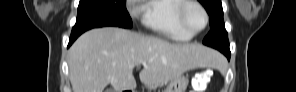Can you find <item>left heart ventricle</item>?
<instances>
[{
  "mask_svg": "<svg viewBox=\"0 0 296 92\" xmlns=\"http://www.w3.org/2000/svg\"><path fill=\"white\" fill-rule=\"evenodd\" d=\"M186 20L188 26L193 31L200 30L205 23V18L202 11L196 6L189 7L186 12Z\"/></svg>",
  "mask_w": 296,
  "mask_h": 92,
  "instance_id": "left-heart-ventricle-1",
  "label": "left heart ventricle"
}]
</instances>
